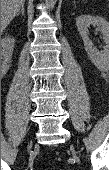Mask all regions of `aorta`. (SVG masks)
<instances>
[{
	"mask_svg": "<svg viewBox=\"0 0 109 170\" xmlns=\"http://www.w3.org/2000/svg\"><path fill=\"white\" fill-rule=\"evenodd\" d=\"M56 2H57V0H46V3L49 7H54Z\"/></svg>",
	"mask_w": 109,
	"mask_h": 170,
	"instance_id": "1",
	"label": "aorta"
}]
</instances>
